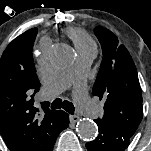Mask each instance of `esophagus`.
<instances>
[{
  "label": "esophagus",
  "mask_w": 151,
  "mask_h": 151,
  "mask_svg": "<svg viewBox=\"0 0 151 151\" xmlns=\"http://www.w3.org/2000/svg\"><path fill=\"white\" fill-rule=\"evenodd\" d=\"M79 120V116L77 115H71L70 116V122L71 123H76Z\"/></svg>",
  "instance_id": "34e87169"
}]
</instances>
